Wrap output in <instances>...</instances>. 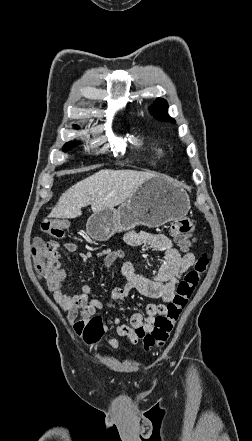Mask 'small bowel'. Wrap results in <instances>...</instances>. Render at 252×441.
I'll list each match as a JSON object with an SVG mask.
<instances>
[{"mask_svg":"<svg viewBox=\"0 0 252 441\" xmlns=\"http://www.w3.org/2000/svg\"><path fill=\"white\" fill-rule=\"evenodd\" d=\"M125 240L130 245L147 244L164 253V261L153 277H145L136 273L131 262H124L121 268L122 275L127 283L123 287L114 288L107 303L92 299V289L89 285L83 284L81 292L77 295H70L64 292L66 273L60 270L57 282L47 281L48 289L53 293L57 305L67 312V321L73 327L75 333L80 335L87 322L103 308H113L118 301L124 300L131 290L140 294L161 300V303H151L146 306L145 314L135 311L129 317V324H123L119 318L114 319V325L120 336L127 337L131 343L139 340L136 329L143 328L150 332L153 328L155 318L165 313L166 305L172 300L175 289L181 276L193 266L195 255L191 251L181 253L174 247L173 242L164 234L151 231H130L126 233ZM63 247L66 251L78 254L82 262H89L94 254L92 252H79L76 244L67 242ZM102 257L105 267H111L116 260L123 259L121 251L102 249L95 254ZM60 255L57 253V258ZM112 348H117L119 342L112 338L108 340Z\"/></svg>","mask_w":252,"mask_h":441,"instance_id":"small-bowel-1","label":"small bowel"}]
</instances>
